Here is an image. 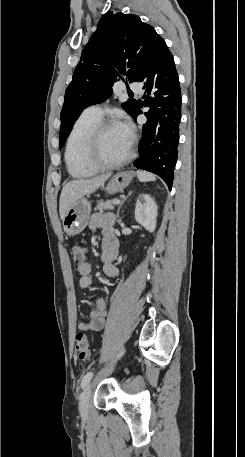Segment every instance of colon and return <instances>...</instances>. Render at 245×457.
Returning a JSON list of instances; mask_svg holds the SVG:
<instances>
[{
	"label": "colon",
	"instance_id": "obj_1",
	"mask_svg": "<svg viewBox=\"0 0 245 457\" xmlns=\"http://www.w3.org/2000/svg\"><path fill=\"white\" fill-rule=\"evenodd\" d=\"M69 255L74 264L79 267L85 262L87 253L85 248L78 245H73L69 248ZM75 350L81 360H87L89 358L90 344L86 334L80 332L76 335Z\"/></svg>",
	"mask_w": 245,
	"mask_h": 457
}]
</instances>
